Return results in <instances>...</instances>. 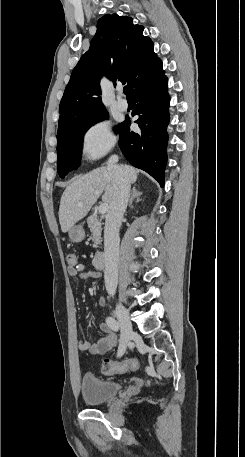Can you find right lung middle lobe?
<instances>
[{"label":"right lung middle lobe","mask_w":245,"mask_h":457,"mask_svg":"<svg viewBox=\"0 0 245 457\" xmlns=\"http://www.w3.org/2000/svg\"><path fill=\"white\" fill-rule=\"evenodd\" d=\"M104 119H108V112L105 109L88 117L66 123L58 128L57 171L61 178H64L69 171L77 169L79 166L85 132L92 125Z\"/></svg>","instance_id":"1"}]
</instances>
